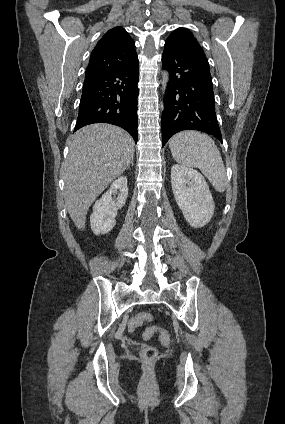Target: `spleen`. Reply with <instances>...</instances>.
I'll return each instance as SVG.
<instances>
[{"label": "spleen", "instance_id": "3e777b00", "mask_svg": "<svg viewBox=\"0 0 285 424\" xmlns=\"http://www.w3.org/2000/svg\"><path fill=\"white\" fill-rule=\"evenodd\" d=\"M169 148L179 164L199 168L216 191L226 190L225 166L211 137L197 131H183L171 138Z\"/></svg>", "mask_w": 285, "mask_h": 424}]
</instances>
